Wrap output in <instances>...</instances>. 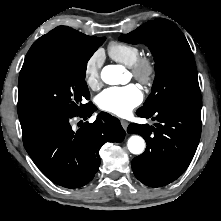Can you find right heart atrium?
Instances as JSON below:
<instances>
[{"label": "right heart atrium", "instance_id": "right-heart-atrium-1", "mask_svg": "<svg viewBox=\"0 0 221 221\" xmlns=\"http://www.w3.org/2000/svg\"><path fill=\"white\" fill-rule=\"evenodd\" d=\"M104 62L103 52L98 49L95 50L86 60L84 65V80L88 87L96 89L101 83V68Z\"/></svg>", "mask_w": 221, "mask_h": 221}]
</instances>
